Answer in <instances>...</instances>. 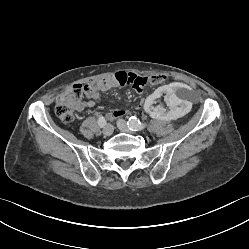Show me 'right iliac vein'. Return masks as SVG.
Wrapping results in <instances>:
<instances>
[{
	"label": "right iliac vein",
	"mask_w": 249,
	"mask_h": 249,
	"mask_svg": "<svg viewBox=\"0 0 249 249\" xmlns=\"http://www.w3.org/2000/svg\"><path fill=\"white\" fill-rule=\"evenodd\" d=\"M114 131V128L111 124H107L103 129V134L105 136H110Z\"/></svg>",
	"instance_id": "right-iliac-vein-1"
}]
</instances>
